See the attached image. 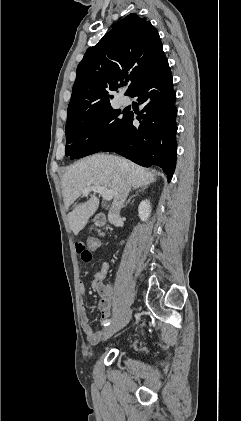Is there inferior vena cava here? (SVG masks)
Segmentation results:
<instances>
[{
  "instance_id": "1",
  "label": "inferior vena cava",
  "mask_w": 241,
  "mask_h": 421,
  "mask_svg": "<svg viewBox=\"0 0 241 421\" xmlns=\"http://www.w3.org/2000/svg\"><path fill=\"white\" fill-rule=\"evenodd\" d=\"M131 186L130 182L127 180L123 184L120 194L114 199L112 206L109 211V221H114L115 219H118L120 217V210L123 207V203L126 200L129 192H130Z\"/></svg>"
}]
</instances>
